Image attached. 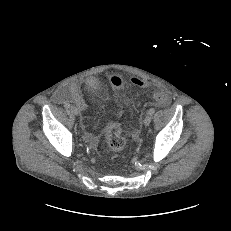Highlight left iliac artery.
I'll list each match as a JSON object with an SVG mask.
<instances>
[{"mask_svg": "<svg viewBox=\"0 0 231 231\" xmlns=\"http://www.w3.org/2000/svg\"><path fill=\"white\" fill-rule=\"evenodd\" d=\"M154 112H155V109H154V108H150L149 111H148V113H149L150 115H153Z\"/></svg>", "mask_w": 231, "mask_h": 231, "instance_id": "left-iliac-artery-1", "label": "left iliac artery"}]
</instances>
